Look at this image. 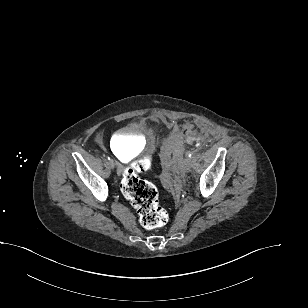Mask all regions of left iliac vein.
<instances>
[{
    "label": "left iliac vein",
    "instance_id": "obj_1",
    "mask_svg": "<svg viewBox=\"0 0 308 308\" xmlns=\"http://www.w3.org/2000/svg\"><path fill=\"white\" fill-rule=\"evenodd\" d=\"M190 168H191V159L189 157H186L181 162V169L184 171H188L190 170Z\"/></svg>",
    "mask_w": 308,
    "mask_h": 308
}]
</instances>
